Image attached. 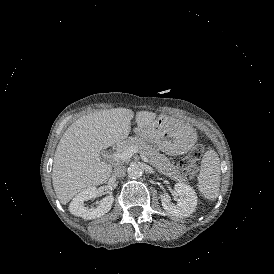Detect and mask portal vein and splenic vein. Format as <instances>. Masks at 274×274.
Returning <instances> with one entry per match:
<instances>
[{"mask_svg":"<svg viewBox=\"0 0 274 274\" xmlns=\"http://www.w3.org/2000/svg\"><path fill=\"white\" fill-rule=\"evenodd\" d=\"M135 153H138L137 148L135 146H129L122 151L115 152L113 155L110 156V160L115 162H121L129 159ZM141 157L144 162L149 163V158L146 155H142Z\"/></svg>","mask_w":274,"mask_h":274,"instance_id":"obj_1","label":"portal vein and splenic vein"}]
</instances>
